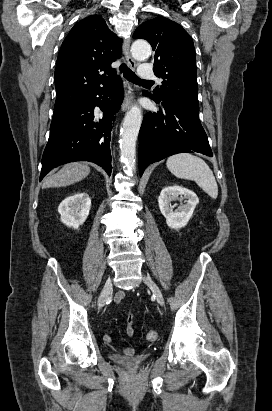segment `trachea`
<instances>
[{
    "mask_svg": "<svg viewBox=\"0 0 272 411\" xmlns=\"http://www.w3.org/2000/svg\"><path fill=\"white\" fill-rule=\"evenodd\" d=\"M120 71L123 73L124 77L132 82V83H136V84H140V83H152V81H147V80H142L140 79L131 69H129L126 64L122 63L120 65Z\"/></svg>",
    "mask_w": 272,
    "mask_h": 411,
    "instance_id": "1",
    "label": "trachea"
}]
</instances>
